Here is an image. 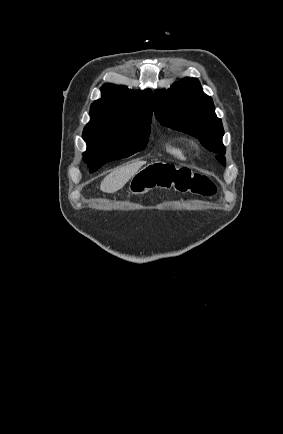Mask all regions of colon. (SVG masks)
Segmentation results:
<instances>
[{
    "instance_id": "colon-1",
    "label": "colon",
    "mask_w": 283,
    "mask_h": 434,
    "mask_svg": "<svg viewBox=\"0 0 283 434\" xmlns=\"http://www.w3.org/2000/svg\"><path fill=\"white\" fill-rule=\"evenodd\" d=\"M154 188H174L180 192L201 196H212L216 193V186L208 175L165 163H154L144 167L131 184L132 192L137 195Z\"/></svg>"
}]
</instances>
